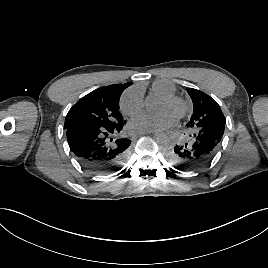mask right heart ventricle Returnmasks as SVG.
<instances>
[{
	"label": "right heart ventricle",
	"instance_id": "1",
	"mask_svg": "<svg viewBox=\"0 0 268 268\" xmlns=\"http://www.w3.org/2000/svg\"><path fill=\"white\" fill-rule=\"evenodd\" d=\"M152 90L162 96L167 97L176 94V87L167 81H156L152 85Z\"/></svg>",
	"mask_w": 268,
	"mask_h": 268
}]
</instances>
